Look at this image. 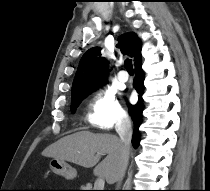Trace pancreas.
<instances>
[{
	"instance_id": "cf45deb5",
	"label": "pancreas",
	"mask_w": 210,
	"mask_h": 191,
	"mask_svg": "<svg viewBox=\"0 0 210 191\" xmlns=\"http://www.w3.org/2000/svg\"><path fill=\"white\" fill-rule=\"evenodd\" d=\"M83 189H91V185L88 184V185L86 186V188H83Z\"/></svg>"
}]
</instances>
